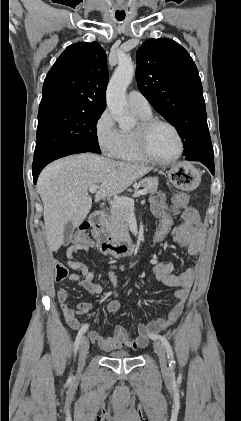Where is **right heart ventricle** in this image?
Segmentation results:
<instances>
[{
	"label": "right heart ventricle",
	"mask_w": 241,
	"mask_h": 421,
	"mask_svg": "<svg viewBox=\"0 0 241 421\" xmlns=\"http://www.w3.org/2000/svg\"><path fill=\"white\" fill-rule=\"evenodd\" d=\"M133 112L140 122L152 118L151 113ZM114 157L127 162H149V160L143 156L138 148L135 138V129H123L120 131V141Z\"/></svg>",
	"instance_id": "right-heart-ventricle-1"
}]
</instances>
